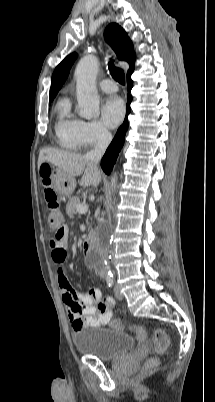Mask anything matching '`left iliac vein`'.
<instances>
[{
	"label": "left iliac vein",
	"instance_id": "1",
	"mask_svg": "<svg viewBox=\"0 0 215 402\" xmlns=\"http://www.w3.org/2000/svg\"><path fill=\"white\" fill-rule=\"evenodd\" d=\"M114 292L117 299H122V294L120 293L118 286H115Z\"/></svg>",
	"mask_w": 215,
	"mask_h": 402
}]
</instances>
